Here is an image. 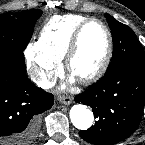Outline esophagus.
Returning a JSON list of instances; mask_svg holds the SVG:
<instances>
[{
  "mask_svg": "<svg viewBox=\"0 0 145 145\" xmlns=\"http://www.w3.org/2000/svg\"><path fill=\"white\" fill-rule=\"evenodd\" d=\"M60 102L65 105H70L73 102V99L71 97L61 96L59 98Z\"/></svg>",
  "mask_w": 145,
  "mask_h": 145,
  "instance_id": "obj_1",
  "label": "esophagus"
}]
</instances>
